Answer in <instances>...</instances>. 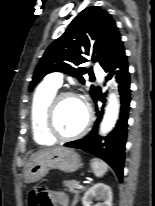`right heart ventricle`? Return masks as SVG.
Here are the masks:
<instances>
[{
	"label": "right heart ventricle",
	"instance_id": "obj_1",
	"mask_svg": "<svg viewBox=\"0 0 155 206\" xmlns=\"http://www.w3.org/2000/svg\"><path fill=\"white\" fill-rule=\"evenodd\" d=\"M57 89V87L44 82L36 90L32 99L30 123L34 141L39 145H51L54 142V139L45 130L44 114L50 100L57 93Z\"/></svg>",
	"mask_w": 155,
	"mask_h": 206
}]
</instances>
